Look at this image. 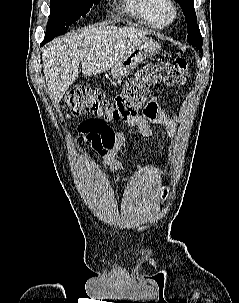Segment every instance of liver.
<instances>
[{"label": "liver", "instance_id": "obj_1", "mask_svg": "<svg viewBox=\"0 0 239 303\" xmlns=\"http://www.w3.org/2000/svg\"><path fill=\"white\" fill-rule=\"evenodd\" d=\"M148 35L133 27L91 26L69 32L47 45L42 53L48 93L58 104L68 88L82 74L91 76L113 67L125 52Z\"/></svg>", "mask_w": 239, "mask_h": 303}]
</instances>
